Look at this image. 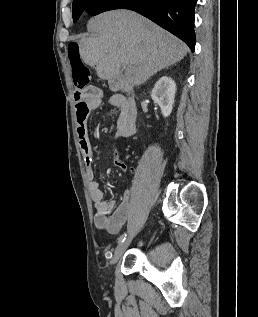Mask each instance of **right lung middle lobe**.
I'll use <instances>...</instances> for the list:
<instances>
[{"label":"right lung middle lobe","mask_w":258,"mask_h":317,"mask_svg":"<svg viewBox=\"0 0 258 317\" xmlns=\"http://www.w3.org/2000/svg\"><path fill=\"white\" fill-rule=\"evenodd\" d=\"M115 0H73V21L76 22L87 5L107 10Z\"/></svg>","instance_id":"1"}]
</instances>
